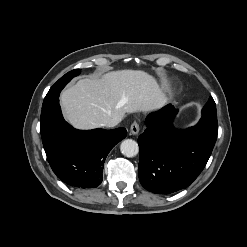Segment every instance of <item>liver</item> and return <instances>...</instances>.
Returning a JSON list of instances; mask_svg holds the SVG:
<instances>
[{"label":"liver","instance_id":"6515ba94","mask_svg":"<svg viewBox=\"0 0 247 247\" xmlns=\"http://www.w3.org/2000/svg\"><path fill=\"white\" fill-rule=\"evenodd\" d=\"M61 106L66 120L76 129L104 127L129 112L153 111L168 98L156 79L141 70H117L100 77L79 80L62 91Z\"/></svg>","mask_w":247,"mask_h":247}]
</instances>
